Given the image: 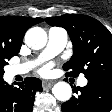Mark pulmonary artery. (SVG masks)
I'll use <instances>...</instances> for the list:
<instances>
[{"instance_id":"1","label":"pulmonary artery","mask_w":112,"mask_h":112,"mask_svg":"<svg viewBox=\"0 0 112 112\" xmlns=\"http://www.w3.org/2000/svg\"><path fill=\"white\" fill-rule=\"evenodd\" d=\"M67 43V32L62 28H50L48 31V43L44 51L41 53L40 60H44L53 57L60 53L66 46ZM33 62L26 64L12 66L10 72L12 75H21L29 71L33 66ZM80 86H85L87 84L86 78H80L78 81Z\"/></svg>"}]
</instances>
